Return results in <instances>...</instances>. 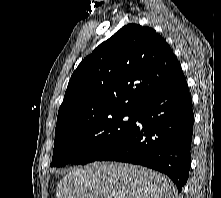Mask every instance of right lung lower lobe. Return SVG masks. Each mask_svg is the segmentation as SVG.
<instances>
[{"label":"right lung lower lobe","mask_w":221,"mask_h":198,"mask_svg":"<svg viewBox=\"0 0 221 198\" xmlns=\"http://www.w3.org/2000/svg\"><path fill=\"white\" fill-rule=\"evenodd\" d=\"M193 121L191 97L182 75L154 95L136 113L130 132L96 161L128 162L158 170L181 192L189 176Z\"/></svg>","instance_id":"98d812e1"}]
</instances>
